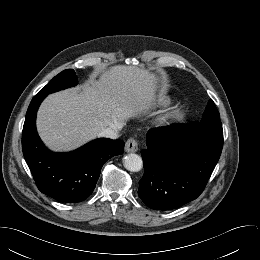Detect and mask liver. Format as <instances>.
Here are the masks:
<instances>
[{
  "label": "liver",
  "mask_w": 260,
  "mask_h": 260,
  "mask_svg": "<svg viewBox=\"0 0 260 260\" xmlns=\"http://www.w3.org/2000/svg\"><path fill=\"white\" fill-rule=\"evenodd\" d=\"M155 74L117 65L84 85L49 95L37 114V130L54 151H70L99 136L107 127L148 113L158 90Z\"/></svg>",
  "instance_id": "liver-1"
}]
</instances>
